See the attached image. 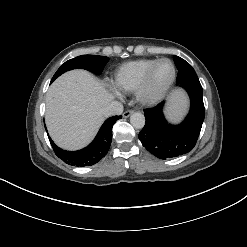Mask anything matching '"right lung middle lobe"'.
Instances as JSON below:
<instances>
[{
    "instance_id": "dd1d6c3e",
    "label": "right lung middle lobe",
    "mask_w": 247,
    "mask_h": 247,
    "mask_svg": "<svg viewBox=\"0 0 247 247\" xmlns=\"http://www.w3.org/2000/svg\"><path fill=\"white\" fill-rule=\"evenodd\" d=\"M109 58L106 56L97 55H82L66 61L54 74L52 80H55L58 76L66 71L72 69H85L95 74H101L104 66L108 62Z\"/></svg>"
}]
</instances>
